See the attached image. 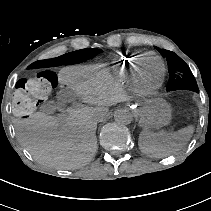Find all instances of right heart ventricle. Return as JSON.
Listing matches in <instances>:
<instances>
[{"label":"right heart ventricle","mask_w":211,"mask_h":211,"mask_svg":"<svg viewBox=\"0 0 211 211\" xmlns=\"http://www.w3.org/2000/svg\"><path fill=\"white\" fill-rule=\"evenodd\" d=\"M150 57L149 51L138 49L136 51L115 55L109 62V73L118 81H132L139 66Z\"/></svg>","instance_id":"obj_1"}]
</instances>
